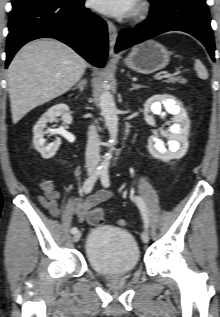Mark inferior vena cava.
Instances as JSON below:
<instances>
[{
    "mask_svg": "<svg viewBox=\"0 0 220 317\" xmlns=\"http://www.w3.org/2000/svg\"><path fill=\"white\" fill-rule=\"evenodd\" d=\"M100 139L94 126L88 130V140L86 147V167L89 171H95L100 161Z\"/></svg>",
    "mask_w": 220,
    "mask_h": 317,
    "instance_id": "obj_1",
    "label": "inferior vena cava"
}]
</instances>
